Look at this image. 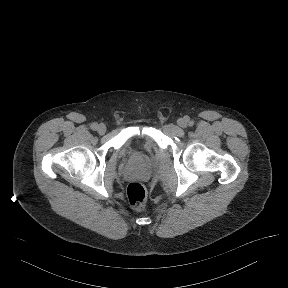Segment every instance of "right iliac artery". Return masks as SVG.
<instances>
[{
  "instance_id": "82829eb1",
  "label": "right iliac artery",
  "mask_w": 288,
  "mask_h": 288,
  "mask_svg": "<svg viewBox=\"0 0 288 288\" xmlns=\"http://www.w3.org/2000/svg\"><path fill=\"white\" fill-rule=\"evenodd\" d=\"M97 126H98L97 123H92V124H91V129H92V130H97Z\"/></svg>"
}]
</instances>
